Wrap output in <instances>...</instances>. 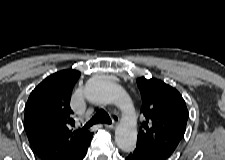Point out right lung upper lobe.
Wrapping results in <instances>:
<instances>
[{"mask_svg":"<svg viewBox=\"0 0 225 160\" xmlns=\"http://www.w3.org/2000/svg\"><path fill=\"white\" fill-rule=\"evenodd\" d=\"M79 77L80 72L74 69L56 72L29 96L24 125L31 146L41 158H73L91 141L93 133L73 128L75 120L70 98Z\"/></svg>","mask_w":225,"mask_h":160,"instance_id":"cb5924a9","label":"right lung upper lobe"}]
</instances>
